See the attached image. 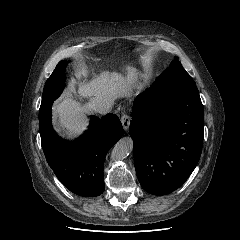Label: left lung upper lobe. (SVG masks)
Segmentation results:
<instances>
[{
	"instance_id": "left-lung-upper-lobe-1",
	"label": "left lung upper lobe",
	"mask_w": 240,
	"mask_h": 240,
	"mask_svg": "<svg viewBox=\"0 0 240 240\" xmlns=\"http://www.w3.org/2000/svg\"><path fill=\"white\" fill-rule=\"evenodd\" d=\"M176 82L182 84L196 85L191 76L186 72L177 58L171 63L168 70L157 77L155 83Z\"/></svg>"
}]
</instances>
